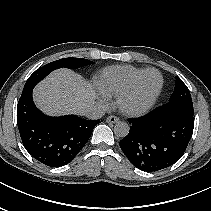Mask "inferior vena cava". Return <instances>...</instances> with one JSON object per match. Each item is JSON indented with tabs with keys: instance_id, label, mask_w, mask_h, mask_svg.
I'll list each match as a JSON object with an SVG mask.
<instances>
[{
	"instance_id": "602c4592",
	"label": "inferior vena cava",
	"mask_w": 211,
	"mask_h": 211,
	"mask_svg": "<svg viewBox=\"0 0 211 211\" xmlns=\"http://www.w3.org/2000/svg\"><path fill=\"white\" fill-rule=\"evenodd\" d=\"M83 114L89 119H99L105 114V109L101 104H91Z\"/></svg>"
}]
</instances>
